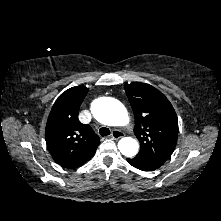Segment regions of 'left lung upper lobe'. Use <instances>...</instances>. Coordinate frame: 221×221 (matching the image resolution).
Listing matches in <instances>:
<instances>
[{"label":"left lung upper lobe","mask_w":221,"mask_h":221,"mask_svg":"<svg viewBox=\"0 0 221 221\" xmlns=\"http://www.w3.org/2000/svg\"><path fill=\"white\" fill-rule=\"evenodd\" d=\"M135 116L134 132L140 142L136 156L163 165L173 153L178 138V119L168 99L149 84L124 86Z\"/></svg>","instance_id":"left-lung-upper-lobe-1"}]
</instances>
